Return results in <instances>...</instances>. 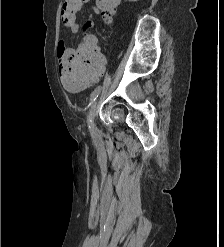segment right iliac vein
<instances>
[{"label": "right iliac vein", "instance_id": "1", "mask_svg": "<svg viewBox=\"0 0 224 247\" xmlns=\"http://www.w3.org/2000/svg\"><path fill=\"white\" fill-rule=\"evenodd\" d=\"M97 106H98V101H95L91 107V114L90 117L92 119V121H94L96 114H97Z\"/></svg>", "mask_w": 224, "mask_h": 247}]
</instances>
